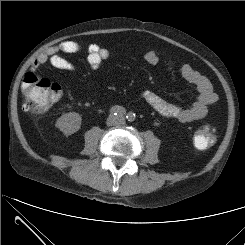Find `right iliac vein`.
Returning a JSON list of instances; mask_svg holds the SVG:
<instances>
[{"label":"right iliac vein","instance_id":"obj_1","mask_svg":"<svg viewBox=\"0 0 245 245\" xmlns=\"http://www.w3.org/2000/svg\"><path fill=\"white\" fill-rule=\"evenodd\" d=\"M114 123V119L113 118H109L107 121V124L111 125Z\"/></svg>","mask_w":245,"mask_h":245}]
</instances>
